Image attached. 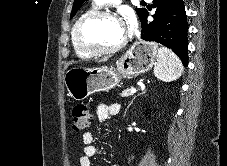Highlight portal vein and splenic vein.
<instances>
[{"label": "portal vein and splenic vein", "instance_id": "portal-vein-and-splenic-vein-1", "mask_svg": "<svg viewBox=\"0 0 227 166\" xmlns=\"http://www.w3.org/2000/svg\"><path fill=\"white\" fill-rule=\"evenodd\" d=\"M136 91H137V90H136L135 88H131V90H130L131 95H132V94H135Z\"/></svg>", "mask_w": 227, "mask_h": 166}]
</instances>
